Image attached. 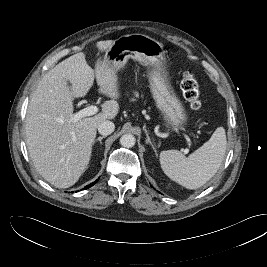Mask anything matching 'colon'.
Returning <instances> with one entry per match:
<instances>
[{
    "label": "colon",
    "mask_w": 267,
    "mask_h": 267,
    "mask_svg": "<svg viewBox=\"0 0 267 267\" xmlns=\"http://www.w3.org/2000/svg\"><path fill=\"white\" fill-rule=\"evenodd\" d=\"M180 87L183 97L189 103L190 107L193 110H198L201 107L200 89L193 73H184Z\"/></svg>",
    "instance_id": "obj_1"
}]
</instances>
